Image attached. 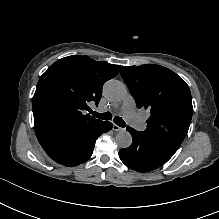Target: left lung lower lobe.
Returning <instances> with one entry per match:
<instances>
[{
    "mask_svg": "<svg viewBox=\"0 0 219 219\" xmlns=\"http://www.w3.org/2000/svg\"><path fill=\"white\" fill-rule=\"evenodd\" d=\"M133 141L128 148L119 151L121 161L130 169L137 172H149L164 165L174 154L163 147L150 142L139 131L128 127Z\"/></svg>",
    "mask_w": 219,
    "mask_h": 219,
    "instance_id": "left-lung-lower-lobe-1",
    "label": "left lung lower lobe"
}]
</instances>
